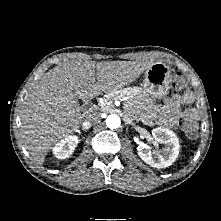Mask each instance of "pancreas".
I'll return each instance as SVG.
<instances>
[{
	"label": "pancreas",
	"instance_id": "1",
	"mask_svg": "<svg viewBox=\"0 0 221 221\" xmlns=\"http://www.w3.org/2000/svg\"><path fill=\"white\" fill-rule=\"evenodd\" d=\"M138 94L137 89L134 88H125V89H120L116 90L113 92H110L106 94L103 98V101L99 103L100 110L101 111H107L113 108V102L115 99H120L124 101V107L125 109H130L132 108L135 103V96ZM141 121L145 125L152 126L154 123L147 118H141Z\"/></svg>",
	"mask_w": 221,
	"mask_h": 221
}]
</instances>
